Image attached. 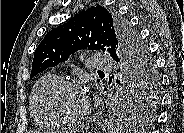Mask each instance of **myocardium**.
Returning a JSON list of instances; mask_svg holds the SVG:
<instances>
[{
  "mask_svg": "<svg viewBox=\"0 0 184 133\" xmlns=\"http://www.w3.org/2000/svg\"><path fill=\"white\" fill-rule=\"evenodd\" d=\"M68 88H75V89H80L83 90L82 86L77 83L76 81L73 80H60L58 83H56L53 87L50 88V90L47 93L46 99H45V105L47 112L49 115L53 118V120L56 122V124H63L66 126H80L84 123H86L90 116H91V104L88 101V108L85 114L77 119H69L66 117H63L62 115L59 114L57 110V97L58 95L65 89Z\"/></svg>",
  "mask_w": 184,
  "mask_h": 133,
  "instance_id": "myocardium-1",
  "label": "myocardium"
}]
</instances>
